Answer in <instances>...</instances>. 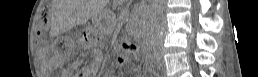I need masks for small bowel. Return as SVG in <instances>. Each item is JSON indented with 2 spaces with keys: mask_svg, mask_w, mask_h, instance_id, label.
<instances>
[{
  "mask_svg": "<svg viewBox=\"0 0 258 77\" xmlns=\"http://www.w3.org/2000/svg\"><path fill=\"white\" fill-rule=\"evenodd\" d=\"M39 51L44 56L45 62L48 66H60L62 64V59L47 56L48 44L46 41H41L39 43Z\"/></svg>",
  "mask_w": 258,
  "mask_h": 77,
  "instance_id": "small-bowel-1",
  "label": "small bowel"
}]
</instances>
